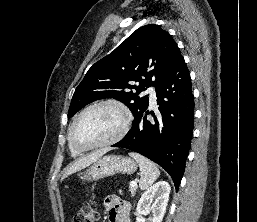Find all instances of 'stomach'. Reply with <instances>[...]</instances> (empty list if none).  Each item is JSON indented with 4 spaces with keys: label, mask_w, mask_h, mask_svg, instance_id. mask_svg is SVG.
<instances>
[{
    "label": "stomach",
    "mask_w": 257,
    "mask_h": 222,
    "mask_svg": "<svg viewBox=\"0 0 257 222\" xmlns=\"http://www.w3.org/2000/svg\"><path fill=\"white\" fill-rule=\"evenodd\" d=\"M136 169V162L129 157L106 155L94 162L81 178L92 181L112 176L117 173L132 174Z\"/></svg>",
    "instance_id": "0dacf381"
}]
</instances>
